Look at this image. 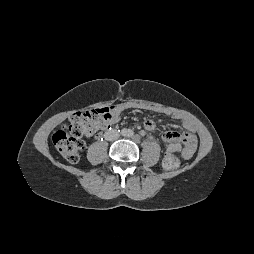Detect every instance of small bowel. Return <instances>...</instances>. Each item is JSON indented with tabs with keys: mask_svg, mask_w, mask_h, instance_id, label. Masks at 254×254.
I'll return each mask as SVG.
<instances>
[{
	"mask_svg": "<svg viewBox=\"0 0 254 254\" xmlns=\"http://www.w3.org/2000/svg\"><path fill=\"white\" fill-rule=\"evenodd\" d=\"M130 107H136L135 105L131 104H118L111 107V119L109 122V127L116 124L120 120V114L124 109L130 108ZM139 108H145V107H139ZM148 110H152L155 112H161L160 110L156 108H145ZM168 116H171L172 118H179V116L175 113L171 112H164ZM183 127L186 129V131H183L182 133H178L175 131H166L162 135V139L166 142L165 147V153L166 155H173L174 153H179V156L181 159H190L196 150L197 147V138L196 135L192 132L191 124L183 120L182 121ZM155 122L152 119H147L144 121V127L146 130L152 131L155 129Z\"/></svg>",
	"mask_w": 254,
	"mask_h": 254,
	"instance_id": "1",
	"label": "small bowel"
}]
</instances>
